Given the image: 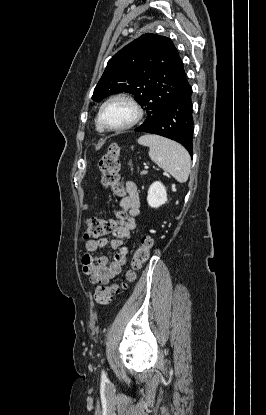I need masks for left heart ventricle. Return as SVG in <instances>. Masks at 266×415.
<instances>
[{
  "mask_svg": "<svg viewBox=\"0 0 266 415\" xmlns=\"http://www.w3.org/2000/svg\"><path fill=\"white\" fill-rule=\"evenodd\" d=\"M134 117L133 108L124 101H115L106 106L103 112L104 122L111 127L127 124Z\"/></svg>",
  "mask_w": 266,
  "mask_h": 415,
  "instance_id": "1",
  "label": "left heart ventricle"
}]
</instances>
